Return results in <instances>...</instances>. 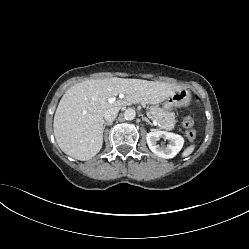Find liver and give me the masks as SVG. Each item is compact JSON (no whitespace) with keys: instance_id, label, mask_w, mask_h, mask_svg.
I'll use <instances>...</instances> for the list:
<instances>
[{"instance_id":"obj_1","label":"liver","mask_w":249,"mask_h":249,"mask_svg":"<svg viewBox=\"0 0 249 249\" xmlns=\"http://www.w3.org/2000/svg\"><path fill=\"white\" fill-rule=\"evenodd\" d=\"M179 87L159 81L106 78L85 80L62 96L53 121L54 135L61 150L81 161L94 157L102 148L104 113L126 104H157ZM125 94L113 104L108 99Z\"/></svg>"}]
</instances>
